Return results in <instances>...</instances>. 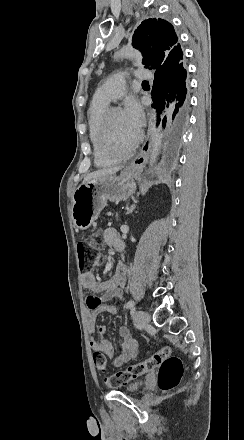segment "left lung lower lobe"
I'll return each instance as SVG.
<instances>
[{
	"mask_svg": "<svg viewBox=\"0 0 244 440\" xmlns=\"http://www.w3.org/2000/svg\"><path fill=\"white\" fill-rule=\"evenodd\" d=\"M186 70L182 58L167 66H160L155 72L154 85L151 91L152 107L161 113L169 108L167 130L162 150L165 154H173L181 145L188 122L189 102L186 98ZM166 117L163 119L165 125Z\"/></svg>",
	"mask_w": 244,
	"mask_h": 440,
	"instance_id": "1",
	"label": "left lung lower lobe"
}]
</instances>
